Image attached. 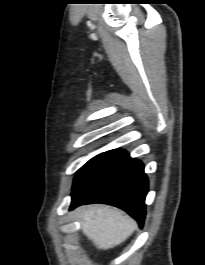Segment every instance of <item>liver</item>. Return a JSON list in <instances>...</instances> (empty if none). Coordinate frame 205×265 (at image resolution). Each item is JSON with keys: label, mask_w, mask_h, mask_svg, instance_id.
Masks as SVG:
<instances>
[{"label": "liver", "mask_w": 205, "mask_h": 265, "mask_svg": "<svg viewBox=\"0 0 205 265\" xmlns=\"http://www.w3.org/2000/svg\"><path fill=\"white\" fill-rule=\"evenodd\" d=\"M77 213L82 232L99 249L121 244L137 229L133 219L107 206L82 207Z\"/></svg>", "instance_id": "1"}]
</instances>
